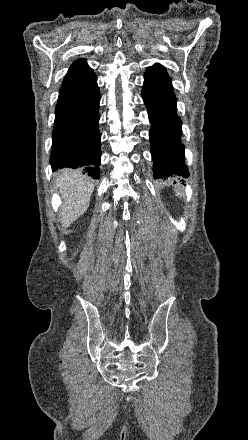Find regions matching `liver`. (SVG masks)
<instances>
[{
  "instance_id": "obj_1",
  "label": "liver",
  "mask_w": 248,
  "mask_h": 440,
  "mask_svg": "<svg viewBox=\"0 0 248 440\" xmlns=\"http://www.w3.org/2000/svg\"><path fill=\"white\" fill-rule=\"evenodd\" d=\"M56 184L63 198L61 223L66 228L87 210L94 185L90 178L70 169L61 170Z\"/></svg>"
}]
</instances>
